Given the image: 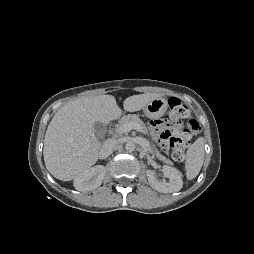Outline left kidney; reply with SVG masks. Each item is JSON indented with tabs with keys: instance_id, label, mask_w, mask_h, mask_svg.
Wrapping results in <instances>:
<instances>
[{
	"instance_id": "obj_1",
	"label": "left kidney",
	"mask_w": 254,
	"mask_h": 254,
	"mask_svg": "<svg viewBox=\"0 0 254 254\" xmlns=\"http://www.w3.org/2000/svg\"><path fill=\"white\" fill-rule=\"evenodd\" d=\"M162 172L169 179L168 182L158 181L155 177L154 171H146L148 182L153 189L161 193H172L177 192L182 188L183 181L177 169L168 165H164L162 167Z\"/></svg>"
}]
</instances>
